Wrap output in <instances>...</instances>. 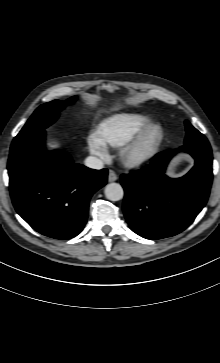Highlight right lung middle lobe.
Here are the masks:
<instances>
[{"mask_svg": "<svg viewBox=\"0 0 220 363\" xmlns=\"http://www.w3.org/2000/svg\"><path fill=\"white\" fill-rule=\"evenodd\" d=\"M75 99L76 97H72L67 102H73ZM65 105L66 102L53 100L38 107L19 134L14 138L11 147H14L21 141L50 126L58 118L59 112Z\"/></svg>", "mask_w": 220, "mask_h": 363, "instance_id": "1", "label": "right lung middle lobe"}]
</instances>
